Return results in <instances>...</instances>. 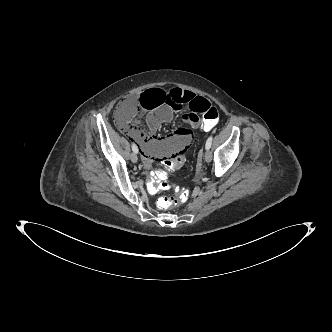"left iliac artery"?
<instances>
[{"instance_id": "1", "label": "left iliac artery", "mask_w": 332, "mask_h": 332, "mask_svg": "<svg viewBox=\"0 0 332 332\" xmlns=\"http://www.w3.org/2000/svg\"><path fill=\"white\" fill-rule=\"evenodd\" d=\"M212 141H213V137L210 136V137L207 139V141H206V145H205L206 150H209V149H210L211 144H212Z\"/></svg>"}]
</instances>
